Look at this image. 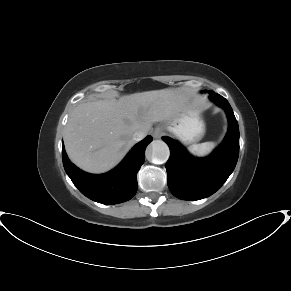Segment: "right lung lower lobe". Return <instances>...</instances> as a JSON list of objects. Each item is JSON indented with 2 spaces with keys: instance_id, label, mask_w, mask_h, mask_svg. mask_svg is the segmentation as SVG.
Here are the masks:
<instances>
[{
  "instance_id": "1",
  "label": "right lung lower lobe",
  "mask_w": 291,
  "mask_h": 291,
  "mask_svg": "<svg viewBox=\"0 0 291 291\" xmlns=\"http://www.w3.org/2000/svg\"><path fill=\"white\" fill-rule=\"evenodd\" d=\"M152 141L147 136L137 143L123 161L113 170L93 175L83 172L68 159L62 144L64 169L79 191L89 199L102 204H118L130 200L137 192V172L144 163L145 149Z\"/></svg>"
}]
</instances>
